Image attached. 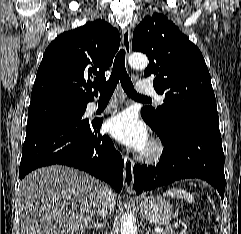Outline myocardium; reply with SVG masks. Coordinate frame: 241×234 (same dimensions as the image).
Here are the masks:
<instances>
[{
  "label": "myocardium",
  "instance_id": "f54148a6",
  "mask_svg": "<svg viewBox=\"0 0 241 234\" xmlns=\"http://www.w3.org/2000/svg\"><path fill=\"white\" fill-rule=\"evenodd\" d=\"M165 147L159 139H153L149 142L146 149L138 156V159L144 163L152 164L159 162L164 155Z\"/></svg>",
  "mask_w": 241,
  "mask_h": 234
}]
</instances>
